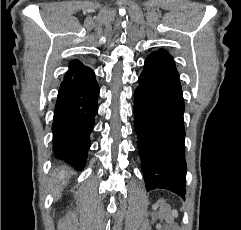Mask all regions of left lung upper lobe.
Returning a JSON list of instances; mask_svg holds the SVG:
<instances>
[{"label": "left lung upper lobe", "instance_id": "1", "mask_svg": "<svg viewBox=\"0 0 241 230\" xmlns=\"http://www.w3.org/2000/svg\"><path fill=\"white\" fill-rule=\"evenodd\" d=\"M154 53H162V54H164V55H166V56L172 58V56H171L170 54H168L165 50H162V49L159 50L158 52H154Z\"/></svg>", "mask_w": 241, "mask_h": 230}]
</instances>
